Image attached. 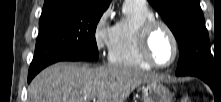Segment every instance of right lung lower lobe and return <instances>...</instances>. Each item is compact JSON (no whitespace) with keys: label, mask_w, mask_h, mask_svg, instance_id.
Masks as SVG:
<instances>
[{"label":"right lung lower lobe","mask_w":221,"mask_h":102,"mask_svg":"<svg viewBox=\"0 0 221 102\" xmlns=\"http://www.w3.org/2000/svg\"><path fill=\"white\" fill-rule=\"evenodd\" d=\"M78 61V60H75ZM36 74H28V83L33 79Z\"/></svg>","instance_id":"right-lung-lower-lobe-1"}]
</instances>
